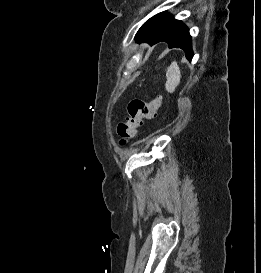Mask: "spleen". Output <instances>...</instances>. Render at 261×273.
Returning <instances> with one entry per match:
<instances>
[{"mask_svg":"<svg viewBox=\"0 0 261 273\" xmlns=\"http://www.w3.org/2000/svg\"><path fill=\"white\" fill-rule=\"evenodd\" d=\"M166 78H167L165 85L166 90L169 93H173L176 87L179 85L181 79L180 68L176 61H173L171 65L168 67V70L166 72Z\"/></svg>","mask_w":261,"mask_h":273,"instance_id":"1","label":"spleen"}]
</instances>
